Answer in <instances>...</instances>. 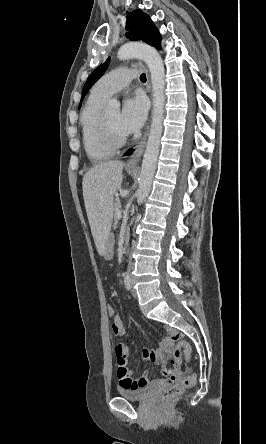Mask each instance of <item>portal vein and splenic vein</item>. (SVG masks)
<instances>
[{
    "mask_svg": "<svg viewBox=\"0 0 266 444\" xmlns=\"http://www.w3.org/2000/svg\"><path fill=\"white\" fill-rule=\"evenodd\" d=\"M117 217H118L119 219L122 217V213H121V210H120V209L117 211Z\"/></svg>",
    "mask_w": 266,
    "mask_h": 444,
    "instance_id": "1",
    "label": "portal vein and splenic vein"
}]
</instances>
